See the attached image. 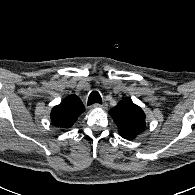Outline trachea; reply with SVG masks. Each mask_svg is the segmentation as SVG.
I'll use <instances>...</instances> for the list:
<instances>
[{
  "mask_svg": "<svg viewBox=\"0 0 195 195\" xmlns=\"http://www.w3.org/2000/svg\"><path fill=\"white\" fill-rule=\"evenodd\" d=\"M96 103L102 104V98L97 91H92L88 98V105H92Z\"/></svg>",
  "mask_w": 195,
  "mask_h": 195,
  "instance_id": "trachea-1",
  "label": "trachea"
}]
</instances>
